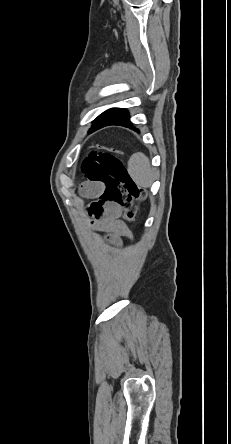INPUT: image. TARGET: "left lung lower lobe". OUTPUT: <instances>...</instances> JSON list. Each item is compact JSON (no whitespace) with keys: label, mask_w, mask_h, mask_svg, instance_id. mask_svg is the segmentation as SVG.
<instances>
[{"label":"left lung lower lobe","mask_w":231,"mask_h":444,"mask_svg":"<svg viewBox=\"0 0 231 444\" xmlns=\"http://www.w3.org/2000/svg\"><path fill=\"white\" fill-rule=\"evenodd\" d=\"M109 125H121L138 131V129L134 128L130 123L127 110L122 109L117 115L93 124L89 132L98 130Z\"/></svg>","instance_id":"left-lung-lower-lobe-1"}]
</instances>
